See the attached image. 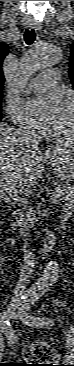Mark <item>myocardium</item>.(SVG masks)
Wrapping results in <instances>:
<instances>
[{
    "instance_id": "1",
    "label": "myocardium",
    "mask_w": 74,
    "mask_h": 366,
    "mask_svg": "<svg viewBox=\"0 0 74 366\" xmlns=\"http://www.w3.org/2000/svg\"><path fill=\"white\" fill-rule=\"evenodd\" d=\"M69 102V107H70V111H71V115H72V131L66 136H60L58 134L53 135V139L56 141H59L61 143L64 144H72L74 141V104L72 103V101H68Z\"/></svg>"
}]
</instances>
